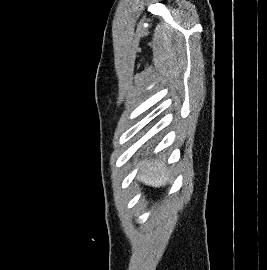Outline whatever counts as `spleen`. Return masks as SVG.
<instances>
[{
    "label": "spleen",
    "mask_w": 267,
    "mask_h": 270,
    "mask_svg": "<svg viewBox=\"0 0 267 270\" xmlns=\"http://www.w3.org/2000/svg\"><path fill=\"white\" fill-rule=\"evenodd\" d=\"M140 164H137V166ZM137 180L153 187L164 186L168 180V171L165 163L157 160L143 161Z\"/></svg>",
    "instance_id": "spleen-1"
}]
</instances>
